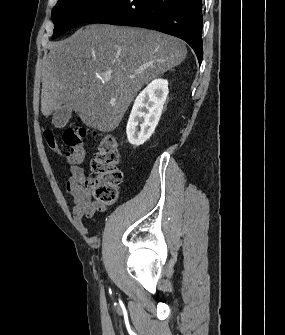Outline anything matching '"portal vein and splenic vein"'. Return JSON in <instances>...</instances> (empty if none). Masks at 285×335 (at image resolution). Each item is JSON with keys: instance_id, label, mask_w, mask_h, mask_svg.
<instances>
[{"instance_id": "18ae733b", "label": "portal vein and splenic vein", "mask_w": 285, "mask_h": 335, "mask_svg": "<svg viewBox=\"0 0 285 335\" xmlns=\"http://www.w3.org/2000/svg\"><path fill=\"white\" fill-rule=\"evenodd\" d=\"M110 78H104V82H109Z\"/></svg>"}]
</instances>
